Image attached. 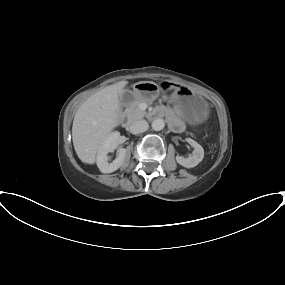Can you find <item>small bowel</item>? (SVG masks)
<instances>
[{"label": "small bowel", "instance_id": "c3829d8e", "mask_svg": "<svg viewBox=\"0 0 285 285\" xmlns=\"http://www.w3.org/2000/svg\"><path fill=\"white\" fill-rule=\"evenodd\" d=\"M171 124L174 130L179 131L182 129L181 122L174 116V114L171 115Z\"/></svg>", "mask_w": 285, "mask_h": 285}]
</instances>
